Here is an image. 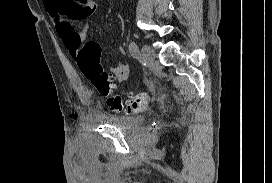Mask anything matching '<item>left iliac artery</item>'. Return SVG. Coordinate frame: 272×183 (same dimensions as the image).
<instances>
[{
	"label": "left iliac artery",
	"instance_id": "44dca946",
	"mask_svg": "<svg viewBox=\"0 0 272 183\" xmlns=\"http://www.w3.org/2000/svg\"><path fill=\"white\" fill-rule=\"evenodd\" d=\"M129 52L132 55V57H134L135 59H139L140 58V52L138 49V45L136 44L135 41H131L129 44Z\"/></svg>",
	"mask_w": 272,
	"mask_h": 183
}]
</instances>
